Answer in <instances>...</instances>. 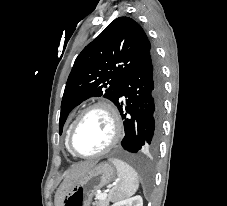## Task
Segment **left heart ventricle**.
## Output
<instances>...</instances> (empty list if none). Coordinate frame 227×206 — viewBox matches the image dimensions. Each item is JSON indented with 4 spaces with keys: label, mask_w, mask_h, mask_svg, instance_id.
Masks as SVG:
<instances>
[{
    "label": "left heart ventricle",
    "mask_w": 227,
    "mask_h": 206,
    "mask_svg": "<svg viewBox=\"0 0 227 206\" xmlns=\"http://www.w3.org/2000/svg\"><path fill=\"white\" fill-rule=\"evenodd\" d=\"M113 134L109 115L102 109L87 113L73 137V147L80 154H93L110 142Z\"/></svg>",
    "instance_id": "obj_1"
}]
</instances>
